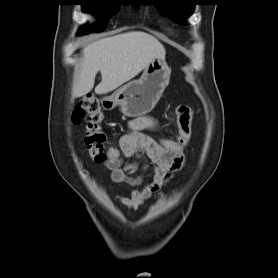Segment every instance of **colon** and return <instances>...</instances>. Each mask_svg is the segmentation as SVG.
Wrapping results in <instances>:
<instances>
[{
  "instance_id": "obj_1",
  "label": "colon",
  "mask_w": 278,
  "mask_h": 278,
  "mask_svg": "<svg viewBox=\"0 0 278 278\" xmlns=\"http://www.w3.org/2000/svg\"><path fill=\"white\" fill-rule=\"evenodd\" d=\"M178 134L175 138H162L159 142L170 152L184 155L191 138L193 112L189 106L180 105L176 109ZM103 114L99 101L93 96L83 97L72 113L74 123L86 122L85 143L97 163L117 159L120 156L118 147H105V135L101 130Z\"/></svg>"
}]
</instances>
